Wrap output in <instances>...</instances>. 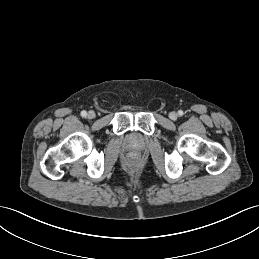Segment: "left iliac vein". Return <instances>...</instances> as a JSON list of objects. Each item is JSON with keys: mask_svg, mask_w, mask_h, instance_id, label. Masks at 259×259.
Instances as JSON below:
<instances>
[{"mask_svg": "<svg viewBox=\"0 0 259 259\" xmlns=\"http://www.w3.org/2000/svg\"><path fill=\"white\" fill-rule=\"evenodd\" d=\"M169 117H170L171 120H176L178 118V115H177L176 112H171L169 114Z\"/></svg>", "mask_w": 259, "mask_h": 259, "instance_id": "1", "label": "left iliac vein"}]
</instances>
